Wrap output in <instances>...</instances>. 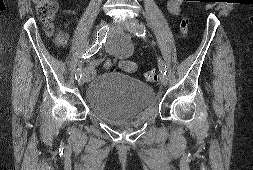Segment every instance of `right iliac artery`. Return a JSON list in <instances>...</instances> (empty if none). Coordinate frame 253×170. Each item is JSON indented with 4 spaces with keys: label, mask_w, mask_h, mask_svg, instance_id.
I'll return each instance as SVG.
<instances>
[{
    "label": "right iliac artery",
    "mask_w": 253,
    "mask_h": 170,
    "mask_svg": "<svg viewBox=\"0 0 253 170\" xmlns=\"http://www.w3.org/2000/svg\"><path fill=\"white\" fill-rule=\"evenodd\" d=\"M105 28L102 27L101 30H99V32H97V38H96V41L94 43V45H92V47H90L83 55H82V59L83 61L86 60V59H89L91 58L93 55H95L99 49L101 48V45L103 43V41L101 40V37L103 36L104 32H105ZM99 33V35H98ZM82 62V61H81ZM82 77V67L79 66L76 70V73H75V79L76 80H80Z\"/></svg>",
    "instance_id": "right-iliac-artery-1"
}]
</instances>
